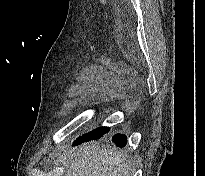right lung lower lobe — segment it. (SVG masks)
I'll list each match as a JSON object with an SVG mask.
<instances>
[{
	"instance_id": "98d812e1",
	"label": "right lung lower lobe",
	"mask_w": 205,
	"mask_h": 176,
	"mask_svg": "<svg viewBox=\"0 0 205 176\" xmlns=\"http://www.w3.org/2000/svg\"><path fill=\"white\" fill-rule=\"evenodd\" d=\"M112 140L114 141V143L119 146V147H124L126 145L127 142V137L125 135L122 134H116L112 137ZM84 142H88V141H84ZM83 142L79 141H75L74 145H78L81 144Z\"/></svg>"
}]
</instances>
